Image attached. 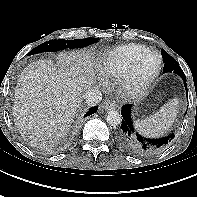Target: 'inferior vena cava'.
Instances as JSON below:
<instances>
[{
    "label": "inferior vena cava",
    "instance_id": "602c4592",
    "mask_svg": "<svg viewBox=\"0 0 197 197\" xmlns=\"http://www.w3.org/2000/svg\"><path fill=\"white\" fill-rule=\"evenodd\" d=\"M83 97L88 105L94 106L102 100V93L98 89H89L85 91Z\"/></svg>",
    "mask_w": 197,
    "mask_h": 197
}]
</instances>
